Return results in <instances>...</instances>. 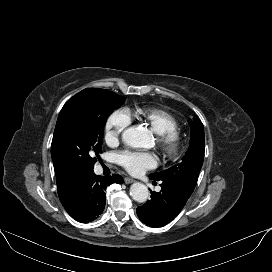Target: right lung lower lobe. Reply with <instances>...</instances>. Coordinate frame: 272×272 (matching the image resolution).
Listing matches in <instances>:
<instances>
[{"label":"right lung lower lobe","mask_w":272,"mask_h":272,"mask_svg":"<svg viewBox=\"0 0 272 272\" xmlns=\"http://www.w3.org/2000/svg\"><path fill=\"white\" fill-rule=\"evenodd\" d=\"M112 183L122 184V176L113 174L110 177H100L91 172L62 204L75 220L82 223L91 222L103 212L106 204L105 190Z\"/></svg>","instance_id":"1"}]
</instances>
